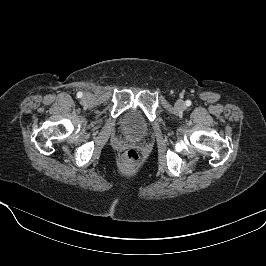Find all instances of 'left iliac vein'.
<instances>
[{"mask_svg":"<svg viewBox=\"0 0 266 266\" xmlns=\"http://www.w3.org/2000/svg\"><path fill=\"white\" fill-rule=\"evenodd\" d=\"M175 107L178 110H184L185 103L183 101L179 100V101L176 102Z\"/></svg>","mask_w":266,"mask_h":266,"instance_id":"left-iliac-vein-1","label":"left iliac vein"}]
</instances>
